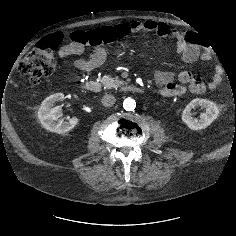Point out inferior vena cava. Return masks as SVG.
Masks as SVG:
<instances>
[{
  "label": "inferior vena cava",
  "instance_id": "inferior-vena-cava-1",
  "mask_svg": "<svg viewBox=\"0 0 236 236\" xmlns=\"http://www.w3.org/2000/svg\"><path fill=\"white\" fill-rule=\"evenodd\" d=\"M101 102H102L103 106L111 107V106H113L115 104L116 99H115V97L113 95L106 94V95H104L102 97Z\"/></svg>",
  "mask_w": 236,
  "mask_h": 236
}]
</instances>
